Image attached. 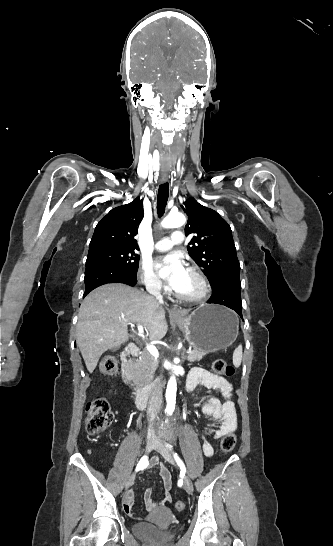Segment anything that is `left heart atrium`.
<instances>
[{
    "instance_id": "obj_1",
    "label": "left heart atrium",
    "mask_w": 333,
    "mask_h": 546,
    "mask_svg": "<svg viewBox=\"0 0 333 546\" xmlns=\"http://www.w3.org/2000/svg\"><path fill=\"white\" fill-rule=\"evenodd\" d=\"M156 267L167 273L168 284L177 292L181 291L188 279L189 271L184 262L175 254L158 259Z\"/></svg>"
}]
</instances>
